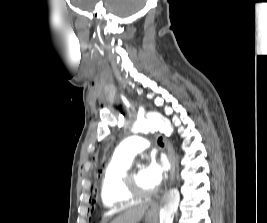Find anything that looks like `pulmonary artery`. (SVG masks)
Masks as SVG:
<instances>
[{
    "instance_id": "e3ab8cb5",
    "label": "pulmonary artery",
    "mask_w": 267,
    "mask_h": 223,
    "mask_svg": "<svg viewBox=\"0 0 267 223\" xmlns=\"http://www.w3.org/2000/svg\"><path fill=\"white\" fill-rule=\"evenodd\" d=\"M148 146L149 142L145 136L135 135L122 141L114 150V154L120 158L132 160L138 153L144 151Z\"/></svg>"
}]
</instances>
